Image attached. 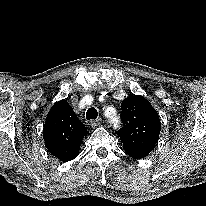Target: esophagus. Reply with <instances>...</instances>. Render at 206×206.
<instances>
[{"instance_id": "obj_1", "label": "esophagus", "mask_w": 206, "mask_h": 206, "mask_svg": "<svg viewBox=\"0 0 206 206\" xmlns=\"http://www.w3.org/2000/svg\"><path fill=\"white\" fill-rule=\"evenodd\" d=\"M101 123H102V119H101V118H98V119L91 120V121L89 122V125H90L92 128H95V127L99 126Z\"/></svg>"}]
</instances>
